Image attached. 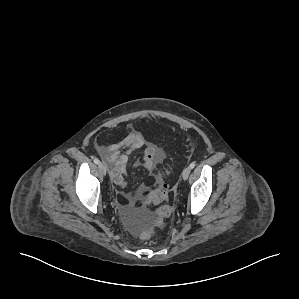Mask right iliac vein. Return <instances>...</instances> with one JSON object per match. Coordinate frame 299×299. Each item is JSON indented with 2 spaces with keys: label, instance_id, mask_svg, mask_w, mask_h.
<instances>
[{
  "label": "right iliac vein",
  "instance_id": "right-iliac-vein-1",
  "mask_svg": "<svg viewBox=\"0 0 299 299\" xmlns=\"http://www.w3.org/2000/svg\"><path fill=\"white\" fill-rule=\"evenodd\" d=\"M99 171L102 175L106 174V166L103 163L98 164Z\"/></svg>",
  "mask_w": 299,
  "mask_h": 299
}]
</instances>
